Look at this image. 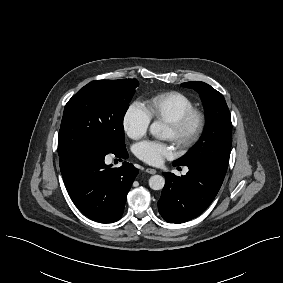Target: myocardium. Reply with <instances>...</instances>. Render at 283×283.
Here are the masks:
<instances>
[{
    "instance_id": "obj_1",
    "label": "myocardium",
    "mask_w": 283,
    "mask_h": 283,
    "mask_svg": "<svg viewBox=\"0 0 283 283\" xmlns=\"http://www.w3.org/2000/svg\"><path fill=\"white\" fill-rule=\"evenodd\" d=\"M206 119L202 111L192 108L178 118L168 121L172 130V141L180 148H189L201 138L205 129Z\"/></svg>"
}]
</instances>
